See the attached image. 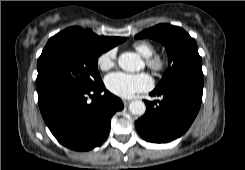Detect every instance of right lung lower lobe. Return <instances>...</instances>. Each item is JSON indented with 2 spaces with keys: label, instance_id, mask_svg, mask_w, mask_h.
<instances>
[{
  "label": "right lung lower lobe",
  "instance_id": "1",
  "mask_svg": "<svg viewBox=\"0 0 245 170\" xmlns=\"http://www.w3.org/2000/svg\"><path fill=\"white\" fill-rule=\"evenodd\" d=\"M39 107L46 125L62 145L88 151L104 142L110 131L111 117L124 105L101 83L88 91L55 94L39 102Z\"/></svg>",
  "mask_w": 245,
  "mask_h": 170
}]
</instances>
